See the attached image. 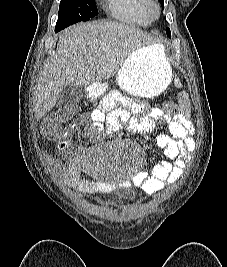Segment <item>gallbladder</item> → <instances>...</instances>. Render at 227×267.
Instances as JSON below:
<instances>
[{"label":"gallbladder","mask_w":227,"mask_h":267,"mask_svg":"<svg viewBox=\"0 0 227 267\" xmlns=\"http://www.w3.org/2000/svg\"><path fill=\"white\" fill-rule=\"evenodd\" d=\"M83 96L81 87L73 84L66 85L61 89L56 107L62 113L75 108Z\"/></svg>","instance_id":"1"}]
</instances>
